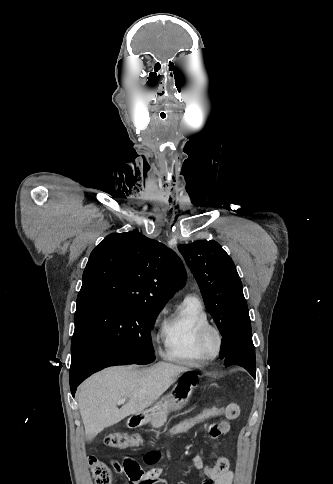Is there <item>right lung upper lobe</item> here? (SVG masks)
I'll return each instance as SVG.
<instances>
[{
	"instance_id": "cb5924a9",
	"label": "right lung upper lobe",
	"mask_w": 333,
	"mask_h": 484,
	"mask_svg": "<svg viewBox=\"0 0 333 484\" xmlns=\"http://www.w3.org/2000/svg\"><path fill=\"white\" fill-rule=\"evenodd\" d=\"M185 282L181 260L138 231L112 233L92 251L77 304L111 301L161 310Z\"/></svg>"
}]
</instances>
